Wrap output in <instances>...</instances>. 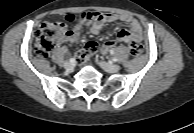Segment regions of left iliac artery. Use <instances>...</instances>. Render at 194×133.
I'll list each match as a JSON object with an SVG mask.
<instances>
[{
    "mask_svg": "<svg viewBox=\"0 0 194 133\" xmlns=\"http://www.w3.org/2000/svg\"><path fill=\"white\" fill-rule=\"evenodd\" d=\"M111 60H112V61H114V62H115V61H117V59H116V58H112Z\"/></svg>",
    "mask_w": 194,
    "mask_h": 133,
    "instance_id": "1",
    "label": "left iliac artery"
}]
</instances>
